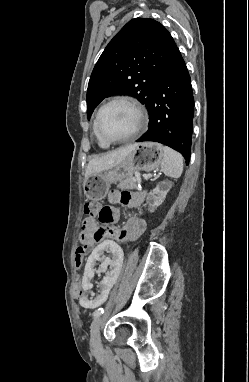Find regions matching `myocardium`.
<instances>
[{
	"label": "myocardium",
	"instance_id": "myocardium-1",
	"mask_svg": "<svg viewBox=\"0 0 249 382\" xmlns=\"http://www.w3.org/2000/svg\"><path fill=\"white\" fill-rule=\"evenodd\" d=\"M115 103H124V104L129 105L131 108H133V110L135 111V113L137 115V122H136V127L131 134H129L125 137H121V138H108V137L104 136L102 131H101L100 118H101L102 112L108 106L115 104ZM147 121H148L147 115H146L144 109L142 108V106L137 101H135L134 99L129 98V97L118 96V97H114V98L108 100L99 108V110L97 111V114H96V118H95V127H96V132L102 141H104L108 144H115V143H122V142H126V141H130L132 139H135L139 135V133L146 127Z\"/></svg>",
	"mask_w": 249,
	"mask_h": 382
}]
</instances>
